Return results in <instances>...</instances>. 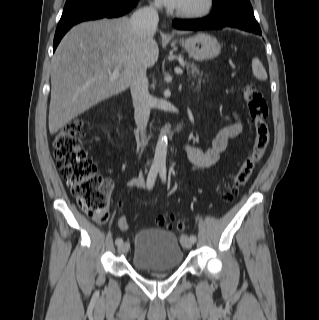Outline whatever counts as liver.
<instances>
[{
    "instance_id": "6515ba94",
    "label": "liver",
    "mask_w": 319,
    "mask_h": 320,
    "mask_svg": "<svg viewBox=\"0 0 319 320\" xmlns=\"http://www.w3.org/2000/svg\"><path fill=\"white\" fill-rule=\"evenodd\" d=\"M158 55L153 35L150 39L139 38L128 17L73 27L52 60L50 134L99 102L125 91L136 70L152 67ZM117 66L121 67L118 76L110 79Z\"/></svg>"
}]
</instances>
